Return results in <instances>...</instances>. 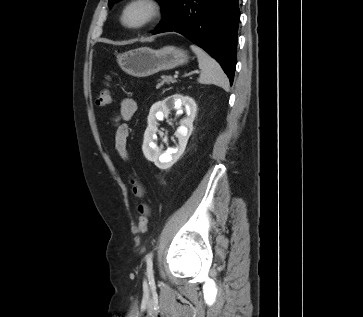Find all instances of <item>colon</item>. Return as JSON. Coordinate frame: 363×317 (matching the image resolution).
<instances>
[{"mask_svg":"<svg viewBox=\"0 0 363 317\" xmlns=\"http://www.w3.org/2000/svg\"><path fill=\"white\" fill-rule=\"evenodd\" d=\"M109 80V79H108ZM112 102V94L108 87V84L102 88L96 96V104L99 106H106L109 105ZM132 184H133V192L135 196H137L139 199H141V202L138 206V211L140 214L139 221H138V230L140 232L145 231L149 215H150V207L149 205L144 201L146 191L143 186V184L136 178H132Z\"/></svg>","mask_w":363,"mask_h":317,"instance_id":"obj_1","label":"colon"}]
</instances>
